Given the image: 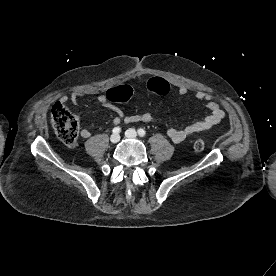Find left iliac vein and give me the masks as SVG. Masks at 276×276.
I'll use <instances>...</instances> for the list:
<instances>
[{
	"mask_svg": "<svg viewBox=\"0 0 276 276\" xmlns=\"http://www.w3.org/2000/svg\"><path fill=\"white\" fill-rule=\"evenodd\" d=\"M125 135L127 138H131V139H135L137 138V132L135 129H128L126 132H125Z\"/></svg>",
	"mask_w": 276,
	"mask_h": 276,
	"instance_id": "left-iliac-vein-1",
	"label": "left iliac vein"
}]
</instances>
